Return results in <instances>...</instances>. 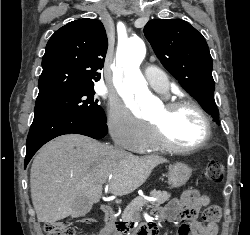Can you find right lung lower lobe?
I'll return each mask as SVG.
<instances>
[{"mask_svg": "<svg viewBox=\"0 0 250 235\" xmlns=\"http://www.w3.org/2000/svg\"><path fill=\"white\" fill-rule=\"evenodd\" d=\"M108 131L106 122L79 114L39 111L34 115L26 144L25 168L36 151L51 139L70 133L101 139Z\"/></svg>", "mask_w": 250, "mask_h": 235, "instance_id": "right-lung-lower-lobe-1", "label": "right lung lower lobe"}]
</instances>
